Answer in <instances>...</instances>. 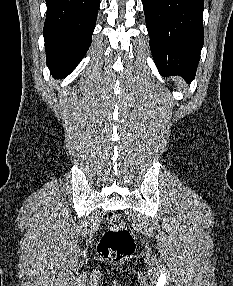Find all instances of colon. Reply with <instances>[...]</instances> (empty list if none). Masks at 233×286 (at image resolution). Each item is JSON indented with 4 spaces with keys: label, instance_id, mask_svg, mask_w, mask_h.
Instances as JSON below:
<instances>
[{
    "label": "colon",
    "instance_id": "colon-1",
    "mask_svg": "<svg viewBox=\"0 0 233 286\" xmlns=\"http://www.w3.org/2000/svg\"><path fill=\"white\" fill-rule=\"evenodd\" d=\"M135 249V240L120 215L112 214L107 219V228L98 243V253L104 260L120 261L130 256Z\"/></svg>",
    "mask_w": 233,
    "mask_h": 286
}]
</instances>
